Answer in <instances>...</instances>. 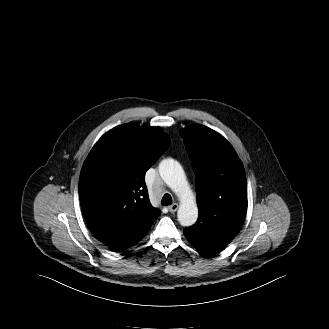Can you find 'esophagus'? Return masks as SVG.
<instances>
[{"label": "esophagus", "mask_w": 329, "mask_h": 329, "mask_svg": "<svg viewBox=\"0 0 329 329\" xmlns=\"http://www.w3.org/2000/svg\"><path fill=\"white\" fill-rule=\"evenodd\" d=\"M178 204L177 203H174V204H172V205H170L169 207H168V210L171 212V213H174V212H176L177 210H178Z\"/></svg>", "instance_id": "esophagus-1"}]
</instances>
